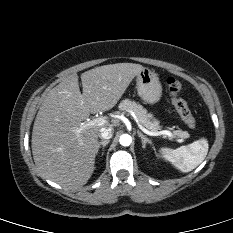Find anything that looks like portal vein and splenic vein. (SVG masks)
Returning <instances> with one entry per match:
<instances>
[{
  "label": "portal vein and splenic vein",
  "mask_w": 233,
  "mask_h": 233,
  "mask_svg": "<svg viewBox=\"0 0 233 233\" xmlns=\"http://www.w3.org/2000/svg\"><path fill=\"white\" fill-rule=\"evenodd\" d=\"M137 121V124L139 126V128L147 135H150V136H160V135H165V136H168L169 138H173V134L170 132V131H167V130H163V131H149L147 130L146 128H144L138 120ZM108 121H107V118L106 117H98V118H95L93 120H90L89 122H87L86 124H82L81 128H79L77 130L78 133H80L83 129L85 128H90L92 126H101V125H104L106 124Z\"/></svg>",
  "instance_id": "obj_1"
}]
</instances>
